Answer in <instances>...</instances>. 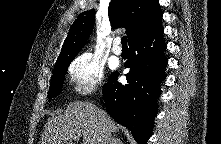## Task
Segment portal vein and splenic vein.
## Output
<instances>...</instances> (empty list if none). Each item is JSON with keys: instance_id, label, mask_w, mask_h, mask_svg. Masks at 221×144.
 <instances>
[{"instance_id": "portal-vein-and-splenic-vein-1", "label": "portal vein and splenic vein", "mask_w": 221, "mask_h": 144, "mask_svg": "<svg viewBox=\"0 0 221 144\" xmlns=\"http://www.w3.org/2000/svg\"><path fill=\"white\" fill-rule=\"evenodd\" d=\"M74 139L76 140V139H78V137H74Z\"/></svg>"}]
</instances>
